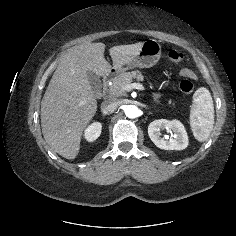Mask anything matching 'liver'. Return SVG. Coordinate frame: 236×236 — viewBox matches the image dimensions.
<instances>
[{
    "instance_id": "obj_1",
    "label": "liver",
    "mask_w": 236,
    "mask_h": 236,
    "mask_svg": "<svg viewBox=\"0 0 236 236\" xmlns=\"http://www.w3.org/2000/svg\"><path fill=\"white\" fill-rule=\"evenodd\" d=\"M143 42L109 49L113 67L104 58L103 43H82L61 58L41 101L44 139L59 155L75 159L83 131L97 111V101L88 72L106 76L111 68L120 71L139 53Z\"/></svg>"
}]
</instances>
